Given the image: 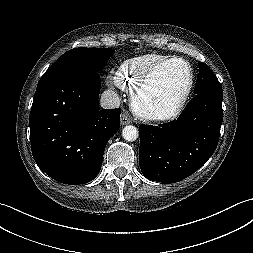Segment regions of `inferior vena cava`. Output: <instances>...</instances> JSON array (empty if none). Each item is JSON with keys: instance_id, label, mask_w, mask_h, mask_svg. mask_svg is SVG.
Here are the masks:
<instances>
[{"instance_id": "1", "label": "inferior vena cava", "mask_w": 253, "mask_h": 253, "mask_svg": "<svg viewBox=\"0 0 253 253\" xmlns=\"http://www.w3.org/2000/svg\"><path fill=\"white\" fill-rule=\"evenodd\" d=\"M100 105L105 109L118 108L120 106V98L113 90H106L101 95Z\"/></svg>"}]
</instances>
